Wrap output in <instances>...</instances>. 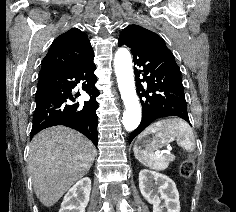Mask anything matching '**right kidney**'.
<instances>
[{
  "instance_id": "ca27d5eb",
  "label": "right kidney",
  "mask_w": 236,
  "mask_h": 212,
  "mask_svg": "<svg viewBox=\"0 0 236 212\" xmlns=\"http://www.w3.org/2000/svg\"><path fill=\"white\" fill-rule=\"evenodd\" d=\"M91 192V180L84 177L64 196L59 212H85Z\"/></svg>"
}]
</instances>
